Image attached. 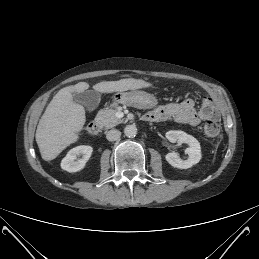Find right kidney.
Instances as JSON below:
<instances>
[{
  "mask_svg": "<svg viewBox=\"0 0 259 259\" xmlns=\"http://www.w3.org/2000/svg\"><path fill=\"white\" fill-rule=\"evenodd\" d=\"M93 148L87 145H80L72 148L61 161V168L73 173L82 170L91 157ZM81 158H78L81 156Z\"/></svg>",
  "mask_w": 259,
  "mask_h": 259,
  "instance_id": "obj_1",
  "label": "right kidney"
}]
</instances>
